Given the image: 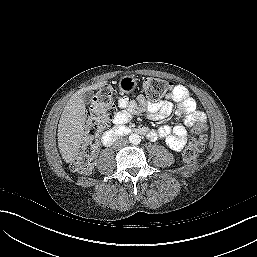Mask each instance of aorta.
<instances>
[{
	"instance_id": "obj_1",
	"label": "aorta",
	"mask_w": 257,
	"mask_h": 257,
	"mask_svg": "<svg viewBox=\"0 0 257 257\" xmlns=\"http://www.w3.org/2000/svg\"><path fill=\"white\" fill-rule=\"evenodd\" d=\"M129 142L133 145H138L141 142L140 135L134 133L129 136Z\"/></svg>"
}]
</instances>
